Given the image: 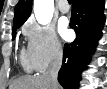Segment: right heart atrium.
<instances>
[{
    "label": "right heart atrium",
    "instance_id": "1",
    "mask_svg": "<svg viewBox=\"0 0 107 89\" xmlns=\"http://www.w3.org/2000/svg\"><path fill=\"white\" fill-rule=\"evenodd\" d=\"M24 35L34 70L42 72L61 59L62 44L52 27L30 22L24 27Z\"/></svg>",
    "mask_w": 107,
    "mask_h": 89
}]
</instances>
